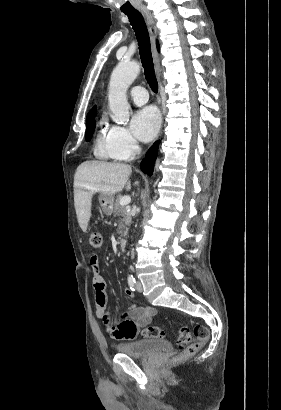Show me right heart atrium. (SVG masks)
Returning <instances> with one entry per match:
<instances>
[{"instance_id": "obj_1", "label": "right heart atrium", "mask_w": 281, "mask_h": 410, "mask_svg": "<svg viewBox=\"0 0 281 410\" xmlns=\"http://www.w3.org/2000/svg\"><path fill=\"white\" fill-rule=\"evenodd\" d=\"M112 143L124 159H130L140 151V144L132 133L123 126H112L109 128Z\"/></svg>"}]
</instances>
